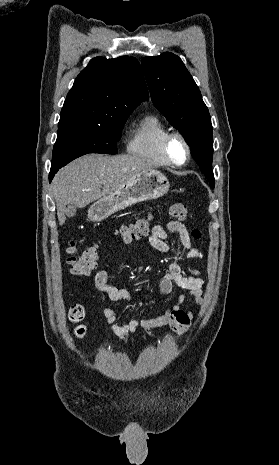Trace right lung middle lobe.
<instances>
[{
  "mask_svg": "<svg viewBox=\"0 0 279 465\" xmlns=\"http://www.w3.org/2000/svg\"><path fill=\"white\" fill-rule=\"evenodd\" d=\"M131 111H114L100 124L79 123L58 127L52 167H63L88 153L117 154L116 142Z\"/></svg>",
  "mask_w": 279,
  "mask_h": 465,
  "instance_id": "dd1d6c3e",
  "label": "right lung middle lobe"
}]
</instances>
